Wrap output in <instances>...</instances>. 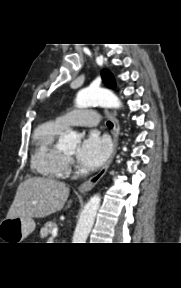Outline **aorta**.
I'll return each mask as SVG.
<instances>
[{
  "instance_id": "1",
  "label": "aorta",
  "mask_w": 181,
  "mask_h": 288,
  "mask_svg": "<svg viewBox=\"0 0 181 288\" xmlns=\"http://www.w3.org/2000/svg\"><path fill=\"white\" fill-rule=\"evenodd\" d=\"M76 106L86 108L93 105H100L109 108H119L121 102L113 93L102 88H86L78 92ZM79 142V136L71 131L62 140L63 148H73ZM101 197L94 195L85 205L80 214L77 226L74 231L72 243H86L88 235L94 225L97 211L100 207Z\"/></svg>"
}]
</instances>
